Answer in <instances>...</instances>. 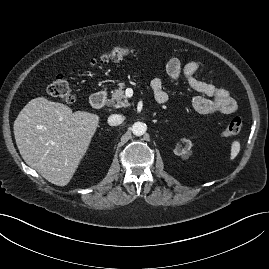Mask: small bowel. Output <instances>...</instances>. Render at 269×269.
Wrapping results in <instances>:
<instances>
[{"instance_id":"c3829d8e","label":"small bowel","mask_w":269,"mask_h":269,"mask_svg":"<svg viewBox=\"0 0 269 269\" xmlns=\"http://www.w3.org/2000/svg\"><path fill=\"white\" fill-rule=\"evenodd\" d=\"M201 64L196 61L182 63L178 58H170L166 63V73L172 80H178L184 77L189 86L200 95L192 99L193 108L204 115H210L215 112L229 115L236 111L237 103L230 93L211 83L200 80L196 73L200 70ZM151 87L155 98L158 101H166L167 94L163 90L162 80L155 78L151 82Z\"/></svg>"}]
</instances>
